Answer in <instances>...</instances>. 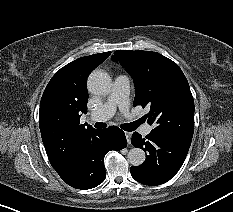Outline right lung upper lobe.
<instances>
[{
  "label": "right lung upper lobe",
  "instance_id": "cb5924a9",
  "mask_svg": "<svg viewBox=\"0 0 233 212\" xmlns=\"http://www.w3.org/2000/svg\"><path fill=\"white\" fill-rule=\"evenodd\" d=\"M111 52L78 58L52 77L43 93L39 127L51 165L57 172L72 164L84 151L87 141L97 132L80 124L87 112L86 78Z\"/></svg>",
  "mask_w": 233,
  "mask_h": 212
}]
</instances>
